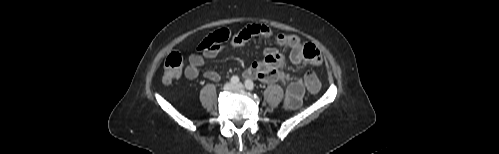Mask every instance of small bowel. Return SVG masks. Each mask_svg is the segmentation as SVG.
<instances>
[{
  "instance_id": "obj_1",
  "label": "small bowel",
  "mask_w": 499,
  "mask_h": 154,
  "mask_svg": "<svg viewBox=\"0 0 499 154\" xmlns=\"http://www.w3.org/2000/svg\"><path fill=\"white\" fill-rule=\"evenodd\" d=\"M272 37L270 29L264 25L254 24L244 29L232 33L228 29H220L208 35L198 46L199 53H194L189 57V65L185 69V76L188 79H196L200 74V67L204 65L205 59L215 58L225 49V42L230 43L234 48L243 46L248 42L259 45L262 40ZM276 43L290 49L288 59L293 64H310L319 66L322 63V56L319 49L311 43H303L296 35L279 34L274 37ZM285 56L277 49L268 47L264 51V58L253 62L244 72L245 78H253L265 83H275L280 80L289 81L286 89L284 104L288 109H297L303 99L304 84L300 79H294L282 70ZM203 76L213 82H218L220 74L214 70H207Z\"/></svg>"
}]
</instances>
